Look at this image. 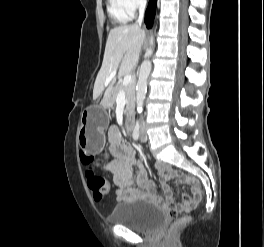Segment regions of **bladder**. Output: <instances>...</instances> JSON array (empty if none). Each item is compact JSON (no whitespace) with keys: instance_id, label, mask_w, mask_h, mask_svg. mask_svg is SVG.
I'll use <instances>...</instances> for the list:
<instances>
[{"instance_id":"bladder-1","label":"bladder","mask_w":264,"mask_h":247,"mask_svg":"<svg viewBox=\"0 0 264 247\" xmlns=\"http://www.w3.org/2000/svg\"><path fill=\"white\" fill-rule=\"evenodd\" d=\"M109 219L134 231L150 233L164 225L166 214L150 202L135 200L116 205Z\"/></svg>"}]
</instances>
